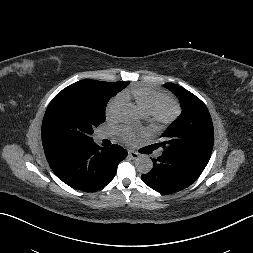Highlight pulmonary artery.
I'll return each mask as SVG.
<instances>
[{
  "label": "pulmonary artery",
  "mask_w": 253,
  "mask_h": 253,
  "mask_svg": "<svg viewBox=\"0 0 253 253\" xmlns=\"http://www.w3.org/2000/svg\"><path fill=\"white\" fill-rule=\"evenodd\" d=\"M104 138H106L105 135H99V136H98V139H99V140H103Z\"/></svg>",
  "instance_id": "obj_1"
}]
</instances>
